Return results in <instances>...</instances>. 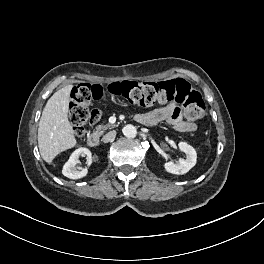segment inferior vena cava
<instances>
[{
    "mask_svg": "<svg viewBox=\"0 0 264 264\" xmlns=\"http://www.w3.org/2000/svg\"><path fill=\"white\" fill-rule=\"evenodd\" d=\"M115 137H116V131L113 130L105 134L102 138V141L104 143L112 142L114 141Z\"/></svg>",
    "mask_w": 264,
    "mask_h": 264,
    "instance_id": "602c4592",
    "label": "inferior vena cava"
}]
</instances>
